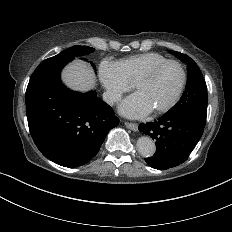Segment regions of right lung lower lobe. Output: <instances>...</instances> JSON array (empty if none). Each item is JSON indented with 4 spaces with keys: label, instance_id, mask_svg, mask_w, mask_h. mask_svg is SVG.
I'll return each instance as SVG.
<instances>
[{
    "label": "right lung lower lobe",
    "instance_id": "obj_1",
    "mask_svg": "<svg viewBox=\"0 0 232 232\" xmlns=\"http://www.w3.org/2000/svg\"><path fill=\"white\" fill-rule=\"evenodd\" d=\"M74 58L44 60L26 90L28 125L36 146L49 160L65 167L88 163L107 133L119 124L112 108L95 92L79 93L62 84L61 70Z\"/></svg>",
    "mask_w": 232,
    "mask_h": 232
}]
</instances>
